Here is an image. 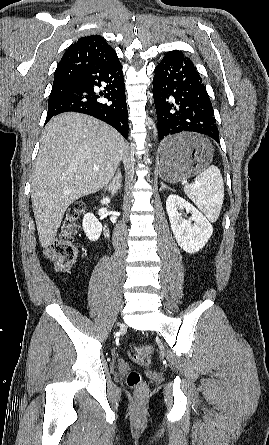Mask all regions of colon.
I'll return each instance as SVG.
<instances>
[{
  "label": "colon",
  "mask_w": 269,
  "mask_h": 445,
  "mask_svg": "<svg viewBox=\"0 0 269 445\" xmlns=\"http://www.w3.org/2000/svg\"><path fill=\"white\" fill-rule=\"evenodd\" d=\"M83 209V204L77 203L67 210L57 238L46 250L47 258L57 269H68L77 259L78 249L75 239ZM129 356L137 364L149 366L151 363V348L133 346L129 349ZM126 383L138 395H144L147 391L146 383L137 371L128 373Z\"/></svg>",
  "instance_id": "colon-1"
}]
</instances>
